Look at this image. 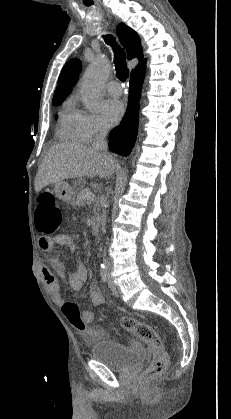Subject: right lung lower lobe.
<instances>
[{"instance_id":"obj_1","label":"right lung lower lobe","mask_w":231,"mask_h":419,"mask_svg":"<svg viewBox=\"0 0 231 419\" xmlns=\"http://www.w3.org/2000/svg\"><path fill=\"white\" fill-rule=\"evenodd\" d=\"M146 65L131 72L130 95L127 112L119 126L113 128L109 135L110 149L120 155L127 156L133 148L138 130V112L141 87Z\"/></svg>"}]
</instances>
